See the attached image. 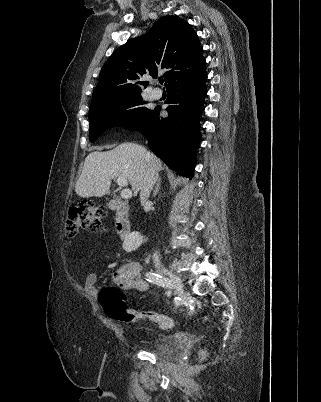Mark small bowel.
<instances>
[{"instance_id":"1","label":"small bowel","mask_w":321,"mask_h":402,"mask_svg":"<svg viewBox=\"0 0 321 402\" xmlns=\"http://www.w3.org/2000/svg\"><path fill=\"white\" fill-rule=\"evenodd\" d=\"M142 267L137 262H128L119 267L114 273V280L119 282L123 288L137 291H146L149 288L148 282L141 276ZM96 283V276L90 274L86 278L85 286L88 289H94ZM141 316V315H139Z\"/></svg>"}]
</instances>
